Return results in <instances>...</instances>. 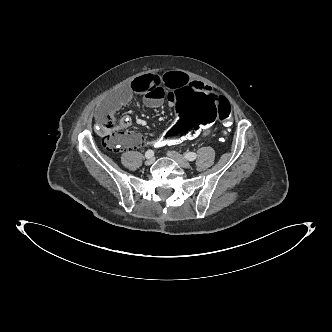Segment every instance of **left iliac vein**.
Masks as SVG:
<instances>
[{
    "label": "left iliac vein",
    "instance_id": "left-iliac-vein-1",
    "mask_svg": "<svg viewBox=\"0 0 332 332\" xmlns=\"http://www.w3.org/2000/svg\"><path fill=\"white\" fill-rule=\"evenodd\" d=\"M168 156L173 159L180 167L182 168H190V163L179 153L175 151H169Z\"/></svg>",
    "mask_w": 332,
    "mask_h": 332
}]
</instances>
